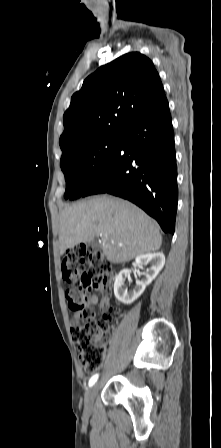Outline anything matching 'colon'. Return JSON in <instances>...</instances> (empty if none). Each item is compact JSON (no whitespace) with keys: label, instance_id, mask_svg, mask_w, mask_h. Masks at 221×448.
Here are the masks:
<instances>
[{"label":"colon","instance_id":"1","mask_svg":"<svg viewBox=\"0 0 221 448\" xmlns=\"http://www.w3.org/2000/svg\"><path fill=\"white\" fill-rule=\"evenodd\" d=\"M61 269L64 280L70 284L66 291L68 307L81 313L84 319L82 324L72 328V339L82 366L86 371L94 372L104 361L110 317L95 319L88 303L92 291L102 287L109 289L112 265L100 250L75 246L63 255ZM115 310L111 308L110 312Z\"/></svg>","mask_w":221,"mask_h":448}]
</instances>
